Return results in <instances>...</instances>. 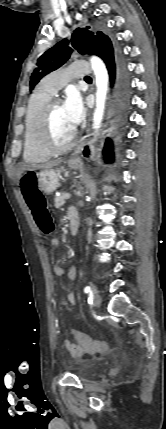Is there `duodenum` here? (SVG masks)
Returning <instances> with one entry per match:
<instances>
[{
	"label": "duodenum",
	"instance_id": "1",
	"mask_svg": "<svg viewBox=\"0 0 166 429\" xmlns=\"http://www.w3.org/2000/svg\"><path fill=\"white\" fill-rule=\"evenodd\" d=\"M69 223H70V230L71 233H76L78 227H79V216L75 209H72V211L69 213Z\"/></svg>",
	"mask_w": 166,
	"mask_h": 429
}]
</instances>
